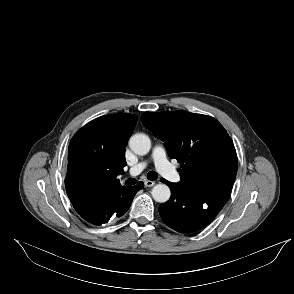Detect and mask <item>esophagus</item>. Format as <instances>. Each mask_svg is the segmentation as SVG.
Segmentation results:
<instances>
[{
    "label": "esophagus",
    "mask_w": 294,
    "mask_h": 294,
    "mask_svg": "<svg viewBox=\"0 0 294 294\" xmlns=\"http://www.w3.org/2000/svg\"><path fill=\"white\" fill-rule=\"evenodd\" d=\"M144 185H145L146 187H152V186L155 185V182H154V181H151V180H145V181H144Z\"/></svg>",
    "instance_id": "34e87169"
}]
</instances>
